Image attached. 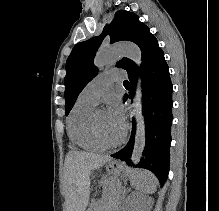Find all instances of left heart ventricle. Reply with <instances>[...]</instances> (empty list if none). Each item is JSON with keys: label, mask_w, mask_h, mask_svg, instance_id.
I'll return each mask as SVG.
<instances>
[{"label": "left heart ventricle", "mask_w": 219, "mask_h": 211, "mask_svg": "<svg viewBox=\"0 0 219 211\" xmlns=\"http://www.w3.org/2000/svg\"><path fill=\"white\" fill-rule=\"evenodd\" d=\"M97 121L102 132L110 138H115L122 132L113 126L104 108L99 109L97 113Z\"/></svg>", "instance_id": "1"}]
</instances>
